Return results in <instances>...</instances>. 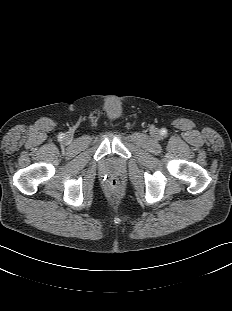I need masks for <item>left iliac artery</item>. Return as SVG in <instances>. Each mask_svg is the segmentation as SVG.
Here are the masks:
<instances>
[{"label":"left iliac artery","instance_id":"1","mask_svg":"<svg viewBox=\"0 0 232 311\" xmlns=\"http://www.w3.org/2000/svg\"><path fill=\"white\" fill-rule=\"evenodd\" d=\"M166 132H167L166 129H162V130H161V133H162L163 135L166 134Z\"/></svg>","mask_w":232,"mask_h":311}]
</instances>
